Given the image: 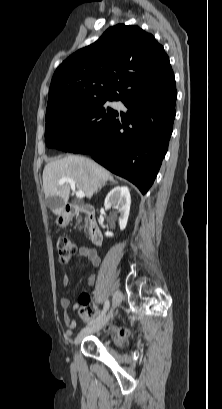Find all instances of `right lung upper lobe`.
<instances>
[{
    "label": "right lung upper lobe",
    "mask_w": 222,
    "mask_h": 409,
    "mask_svg": "<svg viewBox=\"0 0 222 409\" xmlns=\"http://www.w3.org/2000/svg\"><path fill=\"white\" fill-rule=\"evenodd\" d=\"M173 73L154 36L139 26L118 24L68 57L55 71L46 113L71 104L124 101L166 88Z\"/></svg>",
    "instance_id": "right-lung-upper-lobe-1"
}]
</instances>
